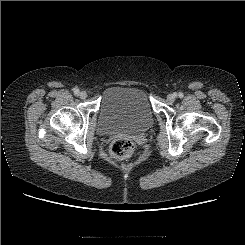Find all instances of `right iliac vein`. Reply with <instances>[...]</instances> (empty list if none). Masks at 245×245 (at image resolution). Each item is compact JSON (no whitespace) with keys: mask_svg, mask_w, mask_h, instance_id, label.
<instances>
[{"mask_svg":"<svg viewBox=\"0 0 245 245\" xmlns=\"http://www.w3.org/2000/svg\"><path fill=\"white\" fill-rule=\"evenodd\" d=\"M79 97H80L81 99H86L87 93H86L85 91H81V92L79 93Z\"/></svg>","mask_w":245,"mask_h":245,"instance_id":"63e3f726","label":"right iliac vein"}]
</instances>
